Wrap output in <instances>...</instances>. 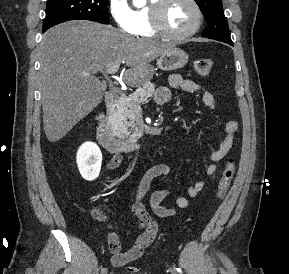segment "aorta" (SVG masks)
Segmentation results:
<instances>
[{
	"instance_id": "762f6f07",
	"label": "aorta",
	"mask_w": 289,
	"mask_h": 274,
	"mask_svg": "<svg viewBox=\"0 0 289 274\" xmlns=\"http://www.w3.org/2000/svg\"><path fill=\"white\" fill-rule=\"evenodd\" d=\"M145 0H133L134 5L136 6H141L143 5Z\"/></svg>"
}]
</instances>
